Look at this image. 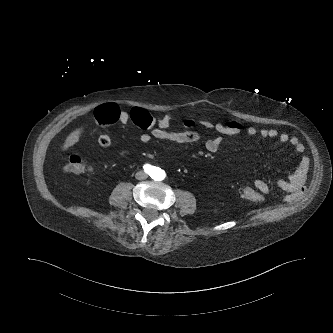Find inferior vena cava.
Here are the masks:
<instances>
[{
	"label": "inferior vena cava",
	"mask_w": 333,
	"mask_h": 333,
	"mask_svg": "<svg viewBox=\"0 0 333 333\" xmlns=\"http://www.w3.org/2000/svg\"><path fill=\"white\" fill-rule=\"evenodd\" d=\"M147 177H148V175H147L145 172H143V171H139V172H137L136 175H135V178H136L137 180H144V179H146Z\"/></svg>",
	"instance_id": "obj_1"
}]
</instances>
